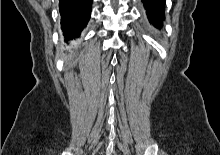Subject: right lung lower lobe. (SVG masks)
I'll list each match as a JSON object with an SVG mask.
<instances>
[{
    "instance_id": "98d812e1",
    "label": "right lung lower lobe",
    "mask_w": 220,
    "mask_h": 155,
    "mask_svg": "<svg viewBox=\"0 0 220 155\" xmlns=\"http://www.w3.org/2000/svg\"><path fill=\"white\" fill-rule=\"evenodd\" d=\"M93 0H60L61 28L65 41L80 35L91 15Z\"/></svg>"
}]
</instances>
